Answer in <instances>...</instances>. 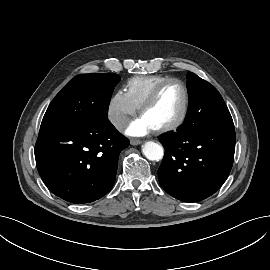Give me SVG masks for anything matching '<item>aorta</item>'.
<instances>
[{
  "mask_svg": "<svg viewBox=\"0 0 270 270\" xmlns=\"http://www.w3.org/2000/svg\"><path fill=\"white\" fill-rule=\"evenodd\" d=\"M143 155L151 161H159L163 158V147L153 141H148L142 146Z\"/></svg>",
  "mask_w": 270,
  "mask_h": 270,
  "instance_id": "aorta-1",
  "label": "aorta"
}]
</instances>
